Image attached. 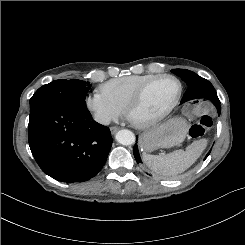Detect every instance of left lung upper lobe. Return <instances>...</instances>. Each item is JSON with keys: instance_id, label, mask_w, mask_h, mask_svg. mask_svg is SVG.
<instances>
[{"instance_id": "5c2ea615", "label": "left lung upper lobe", "mask_w": 245, "mask_h": 245, "mask_svg": "<svg viewBox=\"0 0 245 245\" xmlns=\"http://www.w3.org/2000/svg\"><path fill=\"white\" fill-rule=\"evenodd\" d=\"M171 72L180 76L188 85L181 103L197 98L210 99L212 97H218L212 84L196 73L186 69H174Z\"/></svg>"}]
</instances>
